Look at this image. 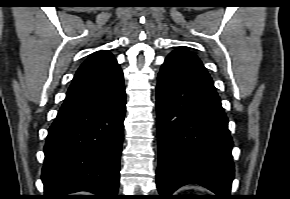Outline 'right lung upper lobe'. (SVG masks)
Returning <instances> with one entry per match:
<instances>
[{
    "mask_svg": "<svg viewBox=\"0 0 290 199\" xmlns=\"http://www.w3.org/2000/svg\"><path fill=\"white\" fill-rule=\"evenodd\" d=\"M122 79V71L113 55L107 51H97L77 70L65 100L96 94Z\"/></svg>",
    "mask_w": 290,
    "mask_h": 199,
    "instance_id": "cb5924a9",
    "label": "right lung upper lobe"
}]
</instances>
